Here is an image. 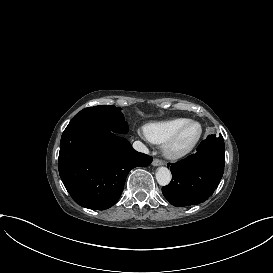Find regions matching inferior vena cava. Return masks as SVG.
Masks as SVG:
<instances>
[{
	"label": "inferior vena cava",
	"mask_w": 273,
	"mask_h": 273,
	"mask_svg": "<svg viewBox=\"0 0 273 273\" xmlns=\"http://www.w3.org/2000/svg\"><path fill=\"white\" fill-rule=\"evenodd\" d=\"M133 148L138 152H142V153H146V154L149 153L148 148L140 141H135L133 143Z\"/></svg>",
	"instance_id": "602c4592"
}]
</instances>
